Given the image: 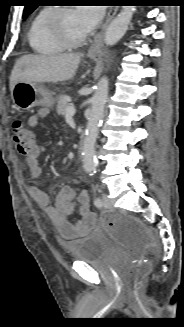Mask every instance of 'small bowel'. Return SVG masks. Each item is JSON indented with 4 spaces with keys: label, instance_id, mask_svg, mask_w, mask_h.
I'll list each match as a JSON object with an SVG mask.
<instances>
[{
    "label": "small bowel",
    "instance_id": "obj_1",
    "mask_svg": "<svg viewBox=\"0 0 184 327\" xmlns=\"http://www.w3.org/2000/svg\"><path fill=\"white\" fill-rule=\"evenodd\" d=\"M48 109L43 108L29 117L27 123L35 127L47 116ZM45 151V146L38 144L26 158L30 176L39 180L42 178L43 170L39 157ZM35 202L45 211L52 222L57 226L59 232L66 238H75L89 232L96 225V216L90 209L89 194L83 189L78 196L75 190L63 187L55 198L53 205L49 204L48 194L39 187H31L29 190ZM78 207V219L71 221L70 217Z\"/></svg>",
    "mask_w": 184,
    "mask_h": 327
}]
</instances>
